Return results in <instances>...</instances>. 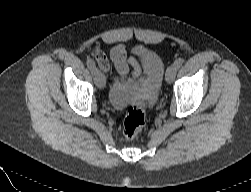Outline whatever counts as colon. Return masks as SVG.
Here are the masks:
<instances>
[{
  "mask_svg": "<svg viewBox=\"0 0 251 192\" xmlns=\"http://www.w3.org/2000/svg\"><path fill=\"white\" fill-rule=\"evenodd\" d=\"M145 125V109L143 104L130 106L127 110L123 131L127 139L136 138Z\"/></svg>",
  "mask_w": 251,
  "mask_h": 192,
  "instance_id": "obj_1",
  "label": "colon"
}]
</instances>
